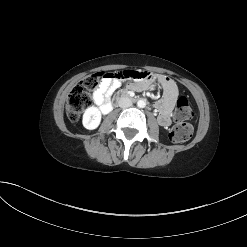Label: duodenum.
Returning a JSON list of instances; mask_svg holds the SVG:
<instances>
[{"instance_id": "1", "label": "duodenum", "mask_w": 247, "mask_h": 247, "mask_svg": "<svg viewBox=\"0 0 247 247\" xmlns=\"http://www.w3.org/2000/svg\"><path fill=\"white\" fill-rule=\"evenodd\" d=\"M127 94H128V93H127V91H125V90H124V91L121 90V91H119L118 93L114 94L113 97H112V99H113V100H112L113 106H115V107L118 106V104H119V103H118V102H119L118 99H119V98H125V97H127V96H128Z\"/></svg>"}]
</instances>
